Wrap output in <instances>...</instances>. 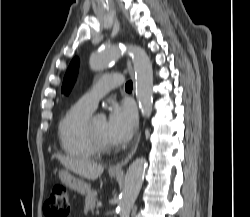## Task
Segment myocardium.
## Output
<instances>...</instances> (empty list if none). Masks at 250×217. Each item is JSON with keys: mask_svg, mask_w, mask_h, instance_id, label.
Instances as JSON below:
<instances>
[{"mask_svg": "<svg viewBox=\"0 0 250 217\" xmlns=\"http://www.w3.org/2000/svg\"><path fill=\"white\" fill-rule=\"evenodd\" d=\"M93 118L94 116L90 115L89 118L85 122V132L86 135L92 144V146L95 148L97 152H108L112 149V146L110 144L105 143L103 140H101L96 132L93 129Z\"/></svg>", "mask_w": 250, "mask_h": 217, "instance_id": "1", "label": "myocardium"}]
</instances>
